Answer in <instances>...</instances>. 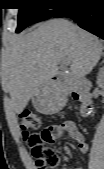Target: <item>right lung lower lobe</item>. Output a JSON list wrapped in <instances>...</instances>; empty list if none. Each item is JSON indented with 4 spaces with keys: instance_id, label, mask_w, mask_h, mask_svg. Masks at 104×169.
Here are the masks:
<instances>
[{
    "instance_id": "1",
    "label": "right lung lower lobe",
    "mask_w": 104,
    "mask_h": 169,
    "mask_svg": "<svg viewBox=\"0 0 104 169\" xmlns=\"http://www.w3.org/2000/svg\"><path fill=\"white\" fill-rule=\"evenodd\" d=\"M53 17H70L81 28L104 39V0H76Z\"/></svg>"
}]
</instances>
